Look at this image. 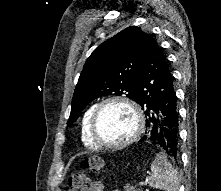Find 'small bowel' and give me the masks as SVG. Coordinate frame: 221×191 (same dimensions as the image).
I'll list each match as a JSON object with an SVG mask.
<instances>
[{
  "label": "small bowel",
  "instance_id": "small-bowel-1",
  "mask_svg": "<svg viewBox=\"0 0 221 191\" xmlns=\"http://www.w3.org/2000/svg\"><path fill=\"white\" fill-rule=\"evenodd\" d=\"M89 191H105V186L102 181L96 180L90 184ZM118 191V190H115Z\"/></svg>",
  "mask_w": 221,
  "mask_h": 191
}]
</instances>
